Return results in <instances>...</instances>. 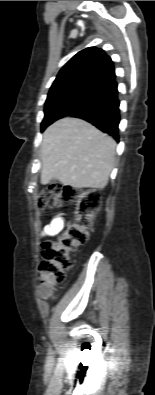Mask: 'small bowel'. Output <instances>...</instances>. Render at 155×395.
I'll return each instance as SVG.
<instances>
[{
	"mask_svg": "<svg viewBox=\"0 0 155 395\" xmlns=\"http://www.w3.org/2000/svg\"><path fill=\"white\" fill-rule=\"evenodd\" d=\"M64 225V218L62 216H57L53 218L49 224H47L41 231L43 237L54 236L58 234Z\"/></svg>",
	"mask_w": 155,
	"mask_h": 395,
	"instance_id": "c3829d8e",
	"label": "small bowel"
}]
</instances>
